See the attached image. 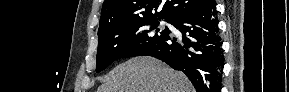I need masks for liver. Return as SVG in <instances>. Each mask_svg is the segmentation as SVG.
Masks as SVG:
<instances>
[{"mask_svg":"<svg viewBox=\"0 0 289 92\" xmlns=\"http://www.w3.org/2000/svg\"><path fill=\"white\" fill-rule=\"evenodd\" d=\"M97 92H194L188 78L153 57H134L104 78Z\"/></svg>","mask_w":289,"mask_h":92,"instance_id":"obj_1","label":"liver"}]
</instances>
